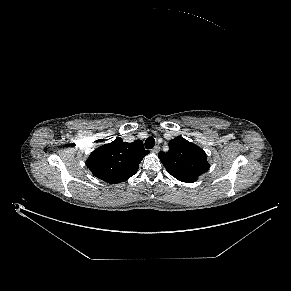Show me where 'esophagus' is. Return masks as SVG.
Wrapping results in <instances>:
<instances>
[{
  "instance_id": "obj_1",
  "label": "esophagus",
  "mask_w": 291,
  "mask_h": 291,
  "mask_svg": "<svg viewBox=\"0 0 291 291\" xmlns=\"http://www.w3.org/2000/svg\"><path fill=\"white\" fill-rule=\"evenodd\" d=\"M153 153L157 154L160 151V146L156 145L152 150Z\"/></svg>"
}]
</instances>
